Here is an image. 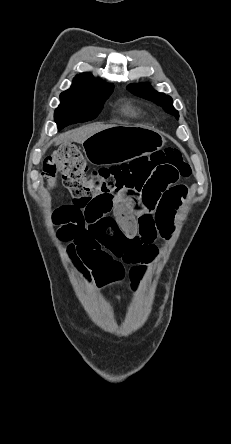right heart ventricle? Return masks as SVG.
Instances as JSON below:
<instances>
[{
    "instance_id": "1",
    "label": "right heart ventricle",
    "mask_w": 231,
    "mask_h": 444,
    "mask_svg": "<svg viewBox=\"0 0 231 444\" xmlns=\"http://www.w3.org/2000/svg\"><path fill=\"white\" fill-rule=\"evenodd\" d=\"M126 113L131 114V115H136L138 113V110L131 106V105H127L125 108Z\"/></svg>"
}]
</instances>
